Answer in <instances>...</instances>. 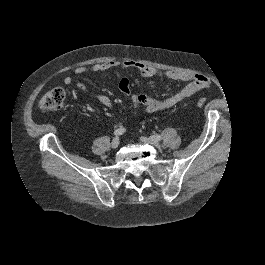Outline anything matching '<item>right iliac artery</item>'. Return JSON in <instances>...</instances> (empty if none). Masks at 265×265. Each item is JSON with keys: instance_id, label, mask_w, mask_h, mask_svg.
<instances>
[{"instance_id": "82829eb1", "label": "right iliac artery", "mask_w": 265, "mask_h": 265, "mask_svg": "<svg viewBox=\"0 0 265 265\" xmlns=\"http://www.w3.org/2000/svg\"><path fill=\"white\" fill-rule=\"evenodd\" d=\"M126 129L125 128H118L114 131V135L115 136H119V135H122L123 133H125Z\"/></svg>"}]
</instances>
